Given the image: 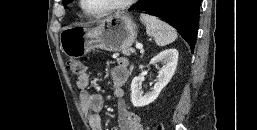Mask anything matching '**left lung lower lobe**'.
<instances>
[{
  "label": "left lung lower lobe",
  "mask_w": 257,
  "mask_h": 130,
  "mask_svg": "<svg viewBox=\"0 0 257 130\" xmlns=\"http://www.w3.org/2000/svg\"><path fill=\"white\" fill-rule=\"evenodd\" d=\"M201 0H141L130 10L143 11L168 22L194 49Z\"/></svg>",
  "instance_id": "1"
}]
</instances>
